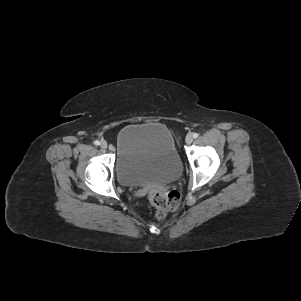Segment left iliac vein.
Here are the masks:
<instances>
[{
  "mask_svg": "<svg viewBox=\"0 0 301 301\" xmlns=\"http://www.w3.org/2000/svg\"><path fill=\"white\" fill-rule=\"evenodd\" d=\"M185 142L186 144H191L193 142V135L192 134H188L185 138Z\"/></svg>",
  "mask_w": 301,
  "mask_h": 301,
  "instance_id": "obj_1",
  "label": "left iliac vein"
}]
</instances>
